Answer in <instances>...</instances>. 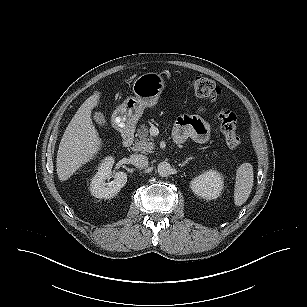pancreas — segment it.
<instances>
[{
  "instance_id": "obj_1",
  "label": "pancreas",
  "mask_w": 307,
  "mask_h": 307,
  "mask_svg": "<svg viewBox=\"0 0 307 307\" xmlns=\"http://www.w3.org/2000/svg\"><path fill=\"white\" fill-rule=\"evenodd\" d=\"M138 138L135 140L132 150L141 153H152L154 149V139L149 135L148 127L141 125L137 130Z\"/></svg>"
}]
</instances>
